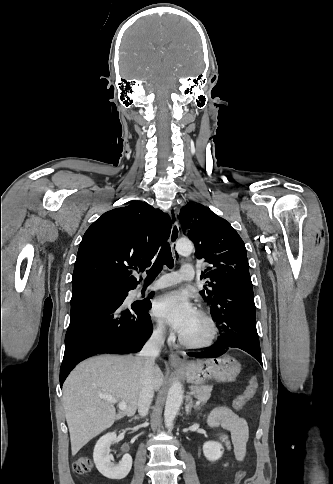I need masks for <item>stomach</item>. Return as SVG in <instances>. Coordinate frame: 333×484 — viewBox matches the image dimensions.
I'll return each mask as SVG.
<instances>
[{
    "mask_svg": "<svg viewBox=\"0 0 333 484\" xmlns=\"http://www.w3.org/2000/svg\"><path fill=\"white\" fill-rule=\"evenodd\" d=\"M241 371L240 363L224 354L219 357L190 361L184 364L182 372L189 383L202 386L210 380L232 382Z\"/></svg>",
    "mask_w": 333,
    "mask_h": 484,
    "instance_id": "obj_1",
    "label": "stomach"
}]
</instances>
